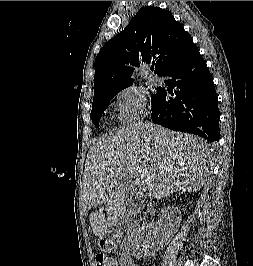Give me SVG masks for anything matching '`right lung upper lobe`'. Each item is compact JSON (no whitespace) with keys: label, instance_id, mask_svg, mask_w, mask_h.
<instances>
[{"label":"right lung upper lobe","instance_id":"1","mask_svg":"<svg viewBox=\"0 0 253 266\" xmlns=\"http://www.w3.org/2000/svg\"><path fill=\"white\" fill-rule=\"evenodd\" d=\"M196 48L191 36L170 12L158 7L140 9L97 55L93 101L131 86L134 71L131 66L152 61L155 73L162 76Z\"/></svg>","mask_w":253,"mask_h":266}]
</instances>
